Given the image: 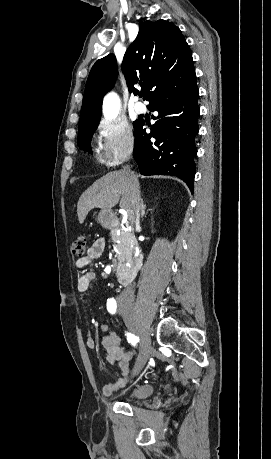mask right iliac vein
Instances as JSON below:
<instances>
[{"label":"right iliac vein","instance_id":"obj_1","mask_svg":"<svg viewBox=\"0 0 271 459\" xmlns=\"http://www.w3.org/2000/svg\"><path fill=\"white\" fill-rule=\"evenodd\" d=\"M120 313L123 316L127 326L134 331L141 339V353L137 363L133 368V374L140 373L143 366L146 364L152 350L151 340L144 334L142 327L137 322L132 309L120 308Z\"/></svg>","mask_w":271,"mask_h":459}]
</instances>
